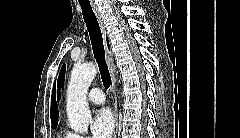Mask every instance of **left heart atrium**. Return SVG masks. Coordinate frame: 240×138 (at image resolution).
I'll return each instance as SVG.
<instances>
[{
    "instance_id": "obj_1",
    "label": "left heart atrium",
    "mask_w": 240,
    "mask_h": 138,
    "mask_svg": "<svg viewBox=\"0 0 240 138\" xmlns=\"http://www.w3.org/2000/svg\"><path fill=\"white\" fill-rule=\"evenodd\" d=\"M114 129L111 112L102 108L98 110L91 123V133L94 138H110Z\"/></svg>"
}]
</instances>
